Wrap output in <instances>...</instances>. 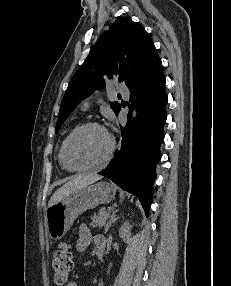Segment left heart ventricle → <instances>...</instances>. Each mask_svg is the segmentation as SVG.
Wrapping results in <instances>:
<instances>
[{
	"instance_id": "left-heart-ventricle-1",
	"label": "left heart ventricle",
	"mask_w": 231,
	"mask_h": 286,
	"mask_svg": "<svg viewBox=\"0 0 231 286\" xmlns=\"http://www.w3.org/2000/svg\"><path fill=\"white\" fill-rule=\"evenodd\" d=\"M109 149L107 135L97 128H87L76 134L71 140L68 151V163L72 167H83L101 160Z\"/></svg>"
}]
</instances>
